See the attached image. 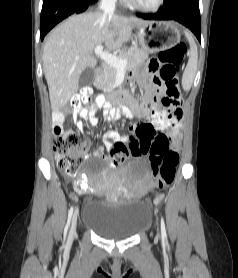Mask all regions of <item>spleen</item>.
<instances>
[{"label":"spleen","mask_w":238,"mask_h":278,"mask_svg":"<svg viewBox=\"0 0 238 278\" xmlns=\"http://www.w3.org/2000/svg\"><path fill=\"white\" fill-rule=\"evenodd\" d=\"M185 35L189 41L190 44V55H189V60L187 63V66L184 70L183 77H182V86L184 90H190L196 70H197V60H198V52H197V46L196 43L192 37V35L188 32L185 31Z\"/></svg>","instance_id":"obj_1"}]
</instances>
